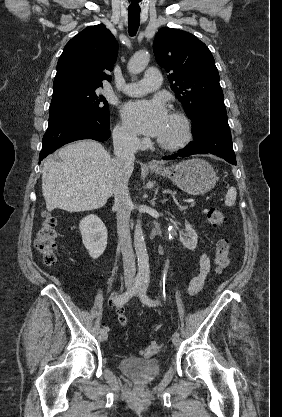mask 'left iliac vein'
Masks as SVG:
<instances>
[{"mask_svg": "<svg viewBox=\"0 0 282 417\" xmlns=\"http://www.w3.org/2000/svg\"><path fill=\"white\" fill-rule=\"evenodd\" d=\"M172 342L175 346H178L181 343V338L179 336H173L172 337Z\"/></svg>", "mask_w": 282, "mask_h": 417, "instance_id": "1", "label": "left iliac vein"}]
</instances>
